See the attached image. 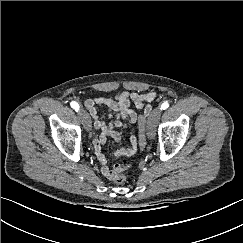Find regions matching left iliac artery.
I'll use <instances>...</instances> for the list:
<instances>
[{"label":"left iliac artery","mask_w":243,"mask_h":243,"mask_svg":"<svg viewBox=\"0 0 243 243\" xmlns=\"http://www.w3.org/2000/svg\"><path fill=\"white\" fill-rule=\"evenodd\" d=\"M169 107V104L167 103V102H163L162 104H161V110H165V109H167Z\"/></svg>","instance_id":"left-iliac-artery-1"}]
</instances>
